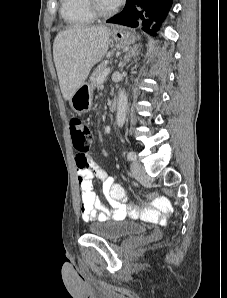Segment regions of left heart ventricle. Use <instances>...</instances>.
I'll list each match as a JSON object with an SVG mask.
<instances>
[{
    "label": "left heart ventricle",
    "instance_id": "1",
    "mask_svg": "<svg viewBox=\"0 0 227 298\" xmlns=\"http://www.w3.org/2000/svg\"><path fill=\"white\" fill-rule=\"evenodd\" d=\"M98 5L103 9H109L112 6H110L106 0H97Z\"/></svg>",
    "mask_w": 227,
    "mask_h": 298
}]
</instances>
